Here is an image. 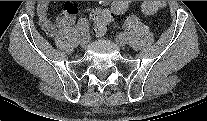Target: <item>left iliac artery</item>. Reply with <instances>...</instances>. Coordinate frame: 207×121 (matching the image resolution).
I'll list each match as a JSON object with an SVG mask.
<instances>
[{
  "instance_id": "44dca946",
  "label": "left iliac artery",
  "mask_w": 207,
  "mask_h": 121,
  "mask_svg": "<svg viewBox=\"0 0 207 121\" xmlns=\"http://www.w3.org/2000/svg\"><path fill=\"white\" fill-rule=\"evenodd\" d=\"M136 20L137 17L134 14H131L128 18L124 20V26L126 28H129Z\"/></svg>"
}]
</instances>
